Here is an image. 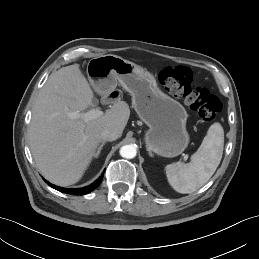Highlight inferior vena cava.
Returning <instances> with one entry per match:
<instances>
[{
    "mask_svg": "<svg viewBox=\"0 0 259 259\" xmlns=\"http://www.w3.org/2000/svg\"><path fill=\"white\" fill-rule=\"evenodd\" d=\"M118 137H119L118 133L115 130H111V129H105L101 133V140L103 142L114 141V140L118 139Z\"/></svg>",
    "mask_w": 259,
    "mask_h": 259,
    "instance_id": "1",
    "label": "inferior vena cava"
}]
</instances>
